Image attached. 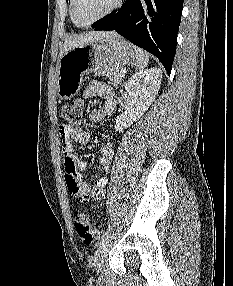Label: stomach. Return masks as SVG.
I'll return each instance as SVG.
<instances>
[{"label": "stomach", "instance_id": "0dacf381", "mask_svg": "<svg viewBox=\"0 0 233 286\" xmlns=\"http://www.w3.org/2000/svg\"><path fill=\"white\" fill-rule=\"evenodd\" d=\"M133 46L120 36L104 37L71 48L57 65V93L70 99L81 88L85 74L95 73L106 66H122L135 60Z\"/></svg>", "mask_w": 233, "mask_h": 286}]
</instances>
